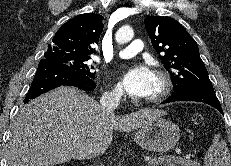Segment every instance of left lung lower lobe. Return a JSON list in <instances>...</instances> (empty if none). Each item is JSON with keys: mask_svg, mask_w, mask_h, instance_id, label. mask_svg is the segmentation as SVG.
<instances>
[{"mask_svg": "<svg viewBox=\"0 0 231 166\" xmlns=\"http://www.w3.org/2000/svg\"><path fill=\"white\" fill-rule=\"evenodd\" d=\"M175 101H197L209 104L223 114L219 100L213 88L188 87L175 92L172 96L162 102L170 103Z\"/></svg>", "mask_w": 231, "mask_h": 166, "instance_id": "1", "label": "left lung lower lobe"}]
</instances>
